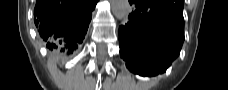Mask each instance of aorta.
I'll list each match as a JSON object with an SVG mask.
<instances>
[{
  "label": "aorta",
  "mask_w": 228,
  "mask_h": 90,
  "mask_svg": "<svg viewBox=\"0 0 228 90\" xmlns=\"http://www.w3.org/2000/svg\"><path fill=\"white\" fill-rule=\"evenodd\" d=\"M111 8L114 16L119 20L126 19L131 11L128 0H111Z\"/></svg>",
  "instance_id": "1"
}]
</instances>
